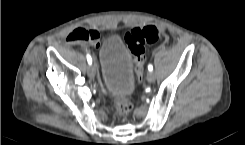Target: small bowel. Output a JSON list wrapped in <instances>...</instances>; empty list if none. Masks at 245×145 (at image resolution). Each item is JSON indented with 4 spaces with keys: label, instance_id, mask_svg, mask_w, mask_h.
Segmentation results:
<instances>
[{
    "label": "small bowel",
    "instance_id": "c3829d8e",
    "mask_svg": "<svg viewBox=\"0 0 245 145\" xmlns=\"http://www.w3.org/2000/svg\"><path fill=\"white\" fill-rule=\"evenodd\" d=\"M96 31V30H95ZM97 32V31H96ZM98 33V32H97ZM100 43V36H99V34H98V38L93 42V43H91V45H93V46H97L98 44Z\"/></svg>",
    "mask_w": 245,
    "mask_h": 145
}]
</instances>
